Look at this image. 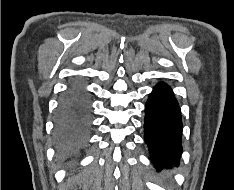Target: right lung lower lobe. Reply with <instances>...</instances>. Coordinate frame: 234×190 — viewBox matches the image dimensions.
<instances>
[{
	"mask_svg": "<svg viewBox=\"0 0 234 190\" xmlns=\"http://www.w3.org/2000/svg\"><path fill=\"white\" fill-rule=\"evenodd\" d=\"M91 125L90 105L76 89L63 99L56 122L58 147L64 151L80 148L86 141Z\"/></svg>",
	"mask_w": 234,
	"mask_h": 190,
	"instance_id": "right-lung-lower-lobe-1",
	"label": "right lung lower lobe"
}]
</instances>
